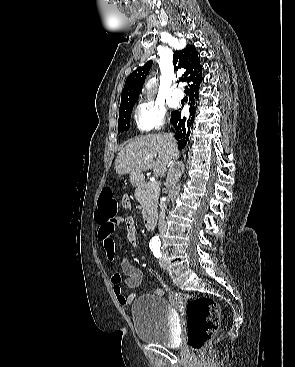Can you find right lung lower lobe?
<instances>
[{"label":"right lung lower lobe","instance_id":"right-lung-lower-lobe-1","mask_svg":"<svg viewBox=\"0 0 295 367\" xmlns=\"http://www.w3.org/2000/svg\"><path fill=\"white\" fill-rule=\"evenodd\" d=\"M199 85L191 88L187 92L190 98V103H189L190 116L189 117L182 116L181 109L175 110L171 113L170 122L176 130L175 138L178 141V146L180 149L184 148V146L186 145L188 141V137L190 135V129L193 126L194 116H195L194 115L195 105H196V101L198 100Z\"/></svg>","mask_w":295,"mask_h":367}]
</instances>
